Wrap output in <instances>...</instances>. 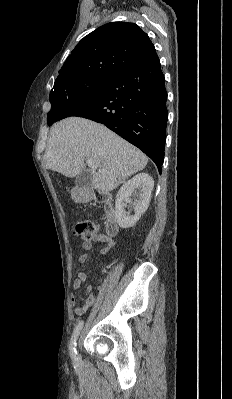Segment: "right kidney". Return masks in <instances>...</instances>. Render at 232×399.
<instances>
[{
    "mask_svg": "<svg viewBox=\"0 0 232 399\" xmlns=\"http://www.w3.org/2000/svg\"><path fill=\"white\" fill-rule=\"evenodd\" d=\"M154 180L149 174H137L120 188L115 200V219L120 227H131L140 219L142 213L149 207ZM133 198L135 215H130L124 209L123 200Z\"/></svg>",
    "mask_w": 232,
    "mask_h": 399,
    "instance_id": "ca27d5eb",
    "label": "right kidney"
}]
</instances>
